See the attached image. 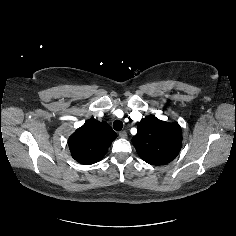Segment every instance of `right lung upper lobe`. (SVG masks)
I'll use <instances>...</instances> for the list:
<instances>
[{
  "instance_id": "obj_1",
  "label": "right lung upper lobe",
  "mask_w": 236,
  "mask_h": 236,
  "mask_svg": "<svg viewBox=\"0 0 236 236\" xmlns=\"http://www.w3.org/2000/svg\"><path fill=\"white\" fill-rule=\"evenodd\" d=\"M117 134L106 122L87 120L68 140L73 159L85 165L101 160Z\"/></svg>"
}]
</instances>
